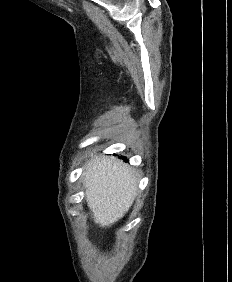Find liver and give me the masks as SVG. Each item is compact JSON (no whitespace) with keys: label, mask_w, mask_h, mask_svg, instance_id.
Instances as JSON below:
<instances>
[{"label":"liver","mask_w":232,"mask_h":282,"mask_svg":"<svg viewBox=\"0 0 232 282\" xmlns=\"http://www.w3.org/2000/svg\"><path fill=\"white\" fill-rule=\"evenodd\" d=\"M86 201L95 223L110 226L121 219L137 194L134 172L114 158L89 163L84 173Z\"/></svg>","instance_id":"obj_1"}]
</instances>
